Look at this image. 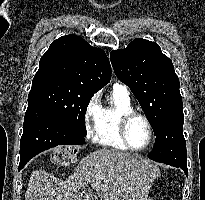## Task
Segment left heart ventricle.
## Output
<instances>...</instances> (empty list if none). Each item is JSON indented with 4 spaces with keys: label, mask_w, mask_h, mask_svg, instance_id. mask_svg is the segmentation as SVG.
I'll use <instances>...</instances> for the list:
<instances>
[{
    "label": "left heart ventricle",
    "mask_w": 205,
    "mask_h": 200,
    "mask_svg": "<svg viewBox=\"0 0 205 200\" xmlns=\"http://www.w3.org/2000/svg\"><path fill=\"white\" fill-rule=\"evenodd\" d=\"M149 131L146 123L141 118H135L128 127V139L132 146L140 148L147 143Z\"/></svg>",
    "instance_id": "obj_1"
}]
</instances>
